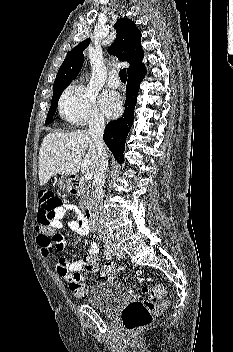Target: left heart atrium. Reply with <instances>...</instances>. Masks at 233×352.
<instances>
[{
  "label": "left heart atrium",
  "mask_w": 233,
  "mask_h": 352,
  "mask_svg": "<svg viewBox=\"0 0 233 352\" xmlns=\"http://www.w3.org/2000/svg\"><path fill=\"white\" fill-rule=\"evenodd\" d=\"M101 107L109 116H116L121 109L119 96L114 92H105L101 96Z\"/></svg>",
  "instance_id": "39dd6f15"
}]
</instances>
